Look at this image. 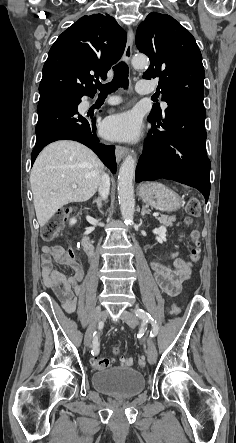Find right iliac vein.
Here are the masks:
<instances>
[{
	"instance_id": "63e3f726",
	"label": "right iliac vein",
	"mask_w": 236,
	"mask_h": 443,
	"mask_svg": "<svg viewBox=\"0 0 236 443\" xmlns=\"http://www.w3.org/2000/svg\"><path fill=\"white\" fill-rule=\"evenodd\" d=\"M108 316V311L107 310H103L102 312H100V314L98 315V319L94 318L91 323L89 324L86 332H85V336H84V345L85 346H90L92 339H93V333L96 329L97 326V322L98 320H103Z\"/></svg>"
}]
</instances>
